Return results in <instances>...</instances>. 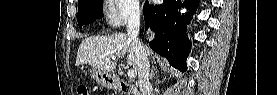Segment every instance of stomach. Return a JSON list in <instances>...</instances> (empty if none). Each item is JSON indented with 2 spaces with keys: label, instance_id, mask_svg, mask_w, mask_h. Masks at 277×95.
<instances>
[{
  "label": "stomach",
  "instance_id": "stomach-1",
  "mask_svg": "<svg viewBox=\"0 0 277 95\" xmlns=\"http://www.w3.org/2000/svg\"><path fill=\"white\" fill-rule=\"evenodd\" d=\"M92 77L96 80L100 85L111 88L115 86V78L111 73L103 72L94 67L91 68Z\"/></svg>",
  "mask_w": 277,
  "mask_h": 95
}]
</instances>
